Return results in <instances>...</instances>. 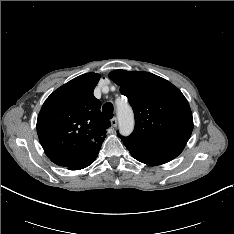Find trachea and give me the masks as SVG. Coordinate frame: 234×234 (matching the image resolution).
Instances as JSON below:
<instances>
[{
	"label": "trachea",
	"instance_id": "3493384b",
	"mask_svg": "<svg viewBox=\"0 0 234 234\" xmlns=\"http://www.w3.org/2000/svg\"><path fill=\"white\" fill-rule=\"evenodd\" d=\"M113 111L114 108L112 103H105L102 107V112L108 119L113 118Z\"/></svg>",
	"mask_w": 234,
	"mask_h": 234
}]
</instances>
